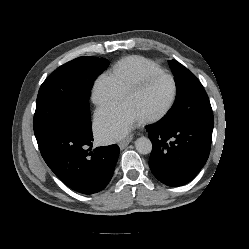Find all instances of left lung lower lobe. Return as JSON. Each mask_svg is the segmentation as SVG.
<instances>
[{"mask_svg": "<svg viewBox=\"0 0 249 249\" xmlns=\"http://www.w3.org/2000/svg\"><path fill=\"white\" fill-rule=\"evenodd\" d=\"M214 119L184 125L162 121L147 127L153 148L149 166L153 175L168 186L190 182L206 163L212 140Z\"/></svg>", "mask_w": 249, "mask_h": 249, "instance_id": "0a47b994", "label": "left lung lower lobe"}]
</instances>
